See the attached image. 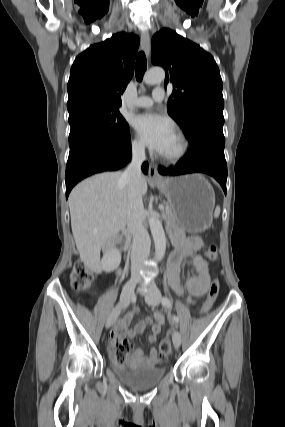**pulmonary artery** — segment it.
Masks as SVG:
<instances>
[{
    "label": "pulmonary artery",
    "instance_id": "e3ab8cb5",
    "mask_svg": "<svg viewBox=\"0 0 285 427\" xmlns=\"http://www.w3.org/2000/svg\"><path fill=\"white\" fill-rule=\"evenodd\" d=\"M165 97V92L162 87H157L152 92V96H141L134 101V105L138 108H149L155 102H161Z\"/></svg>",
    "mask_w": 285,
    "mask_h": 427
}]
</instances>
